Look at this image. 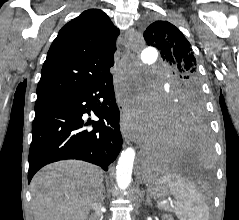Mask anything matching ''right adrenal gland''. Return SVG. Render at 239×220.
I'll list each match as a JSON object with an SVG mask.
<instances>
[{
  "label": "right adrenal gland",
  "instance_id": "1",
  "mask_svg": "<svg viewBox=\"0 0 239 220\" xmlns=\"http://www.w3.org/2000/svg\"><path fill=\"white\" fill-rule=\"evenodd\" d=\"M104 194H105V187L102 184L100 190L98 191L97 199L102 201L104 199Z\"/></svg>",
  "mask_w": 239,
  "mask_h": 220
}]
</instances>
